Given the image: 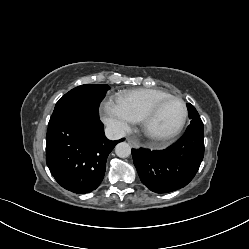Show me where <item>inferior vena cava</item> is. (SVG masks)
<instances>
[{
	"label": "inferior vena cava",
	"mask_w": 249,
	"mask_h": 249,
	"mask_svg": "<svg viewBox=\"0 0 249 249\" xmlns=\"http://www.w3.org/2000/svg\"><path fill=\"white\" fill-rule=\"evenodd\" d=\"M125 131L117 125H108L105 128V135L110 140H118L125 136Z\"/></svg>",
	"instance_id": "602c4592"
}]
</instances>
